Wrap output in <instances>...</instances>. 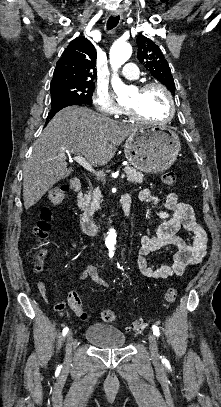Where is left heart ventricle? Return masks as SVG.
Returning a JSON list of instances; mask_svg holds the SVG:
<instances>
[{
    "label": "left heart ventricle",
    "mask_w": 221,
    "mask_h": 407,
    "mask_svg": "<svg viewBox=\"0 0 221 407\" xmlns=\"http://www.w3.org/2000/svg\"><path fill=\"white\" fill-rule=\"evenodd\" d=\"M125 106L135 108L142 117L153 121L165 119L169 112L167 97L158 88H151L143 94L137 90Z\"/></svg>",
    "instance_id": "obj_1"
}]
</instances>
